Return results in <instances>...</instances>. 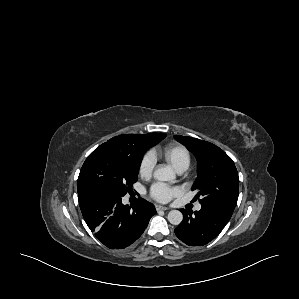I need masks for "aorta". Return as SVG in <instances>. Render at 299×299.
Listing matches in <instances>:
<instances>
[{"label": "aorta", "instance_id": "aorta-1", "mask_svg": "<svg viewBox=\"0 0 299 299\" xmlns=\"http://www.w3.org/2000/svg\"><path fill=\"white\" fill-rule=\"evenodd\" d=\"M153 175L157 181H174L175 179L174 171L168 166L156 169ZM167 218L171 224L179 225L183 220V214L179 210H171Z\"/></svg>", "mask_w": 299, "mask_h": 299}]
</instances>
